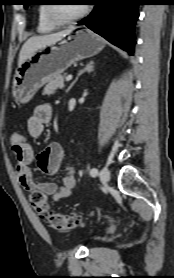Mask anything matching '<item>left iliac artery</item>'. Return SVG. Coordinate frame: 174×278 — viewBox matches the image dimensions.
<instances>
[{"mask_svg":"<svg viewBox=\"0 0 174 278\" xmlns=\"http://www.w3.org/2000/svg\"><path fill=\"white\" fill-rule=\"evenodd\" d=\"M90 175H91L92 177L97 176V175H98V170H97L96 168L91 169V170H90Z\"/></svg>","mask_w":174,"mask_h":278,"instance_id":"obj_1","label":"left iliac artery"}]
</instances>
